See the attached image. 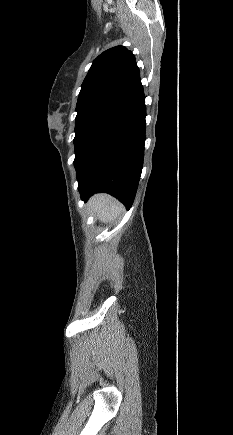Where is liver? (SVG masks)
Instances as JSON below:
<instances>
[{
    "label": "liver",
    "mask_w": 233,
    "mask_h": 435,
    "mask_svg": "<svg viewBox=\"0 0 233 435\" xmlns=\"http://www.w3.org/2000/svg\"><path fill=\"white\" fill-rule=\"evenodd\" d=\"M97 218L104 223L113 222L119 217L124 207L107 194H97L88 203Z\"/></svg>",
    "instance_id": "obj_1"
}]
</instances>
